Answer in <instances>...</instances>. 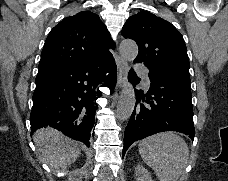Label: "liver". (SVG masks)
Masks as SVG:
<instances>
[{"mask_svg": "<svg viewBox=\"0 0 228 181\" xmlns=\"http://www.w3.org/2000/svg\"><path fill=\"white\" fill-rule=\"evenodd\" d=\"M38 159L51 169H64L72 165L81 155V145L62 135L56 129H38L33 135Z\"/></svg>", "mask_w": 228, "mask_h": 181, "instance_id": "6515ba94", "label": "liver"}]
</instances>
